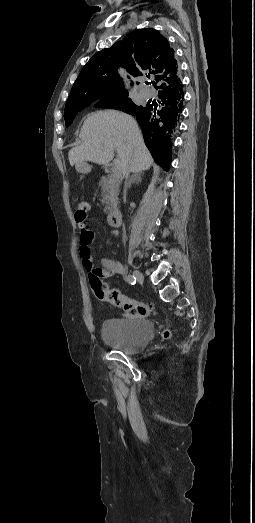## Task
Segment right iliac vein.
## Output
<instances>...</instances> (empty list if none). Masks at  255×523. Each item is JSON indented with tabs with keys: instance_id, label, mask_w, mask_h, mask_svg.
Returning <instances> with one entry per match:
<instances>
[{
	"instance_id": "right-iliac-vein-1",
	"label": "right iliac vein",
	"mask_w": 255,
	"mask_h": 523,
	"mask_svg": "<svg viewBox=\"0 0 255 523\" xmlns=\"http://www.w3.org/2000/svg\"><path fill=\"white\" fill-rule=\"evenodd\" d=\"M133 274L140 283L144 281V276L139 270H134Z\"/></svg>"
}]
</instances>
